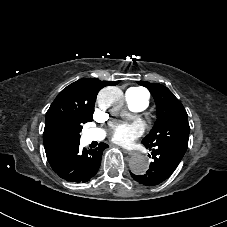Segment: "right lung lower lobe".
Masks as SVG:
<instances>
[{
  "label": "right lung lower lobe",
  "instance_id": "1",
  "mask_svg": "<svg viewBox=\"0 0 227 227\" xmlns=\"http://www.w3.org/2000/svg\"><path fill=\"white\" fill-rule=\"evenodd\" d=\"M107 147V144L100 143L96 149L81 151L78 143L61 149L48 161L55 173L66 181L86 182L96 175L103 150Z\"/></svg>",
  "mask_w": 227,
  "mask_h": 227
}]
</instances>
